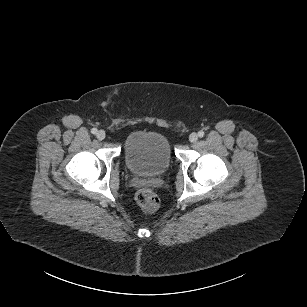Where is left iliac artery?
<instances>
[{
  "instance_id": "44dca946",
  "label": "left iliac artery",
  "mask_w": 307,
  "mask_h": 307,
  "mask_svg": "<svg viewBox=\"0 0 307 307\" xmlns=\"http://www.w3.org/2000/svg\"><path fill=\"white\" fill-rule=\"evenodd\" d=\"M204 134L205 133L202 130L198 132V136L201 137V138L204 136Z\"/></svg>"
}]
</instances>
